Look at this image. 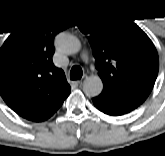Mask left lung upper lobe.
<instances>
[{
  "instance_id": "1",
  "label": "left lung upper lobe",
  "mask_w": 165,
  "mask_h": 156,
  "mask_svg": "<svg viewBox=\"0 0 165 156\" xmlns=\"http://www.w3.org/2000/svg\"><path fill=\"white\" fill-rule=\"evenodd\" d=\"M78 27L89 35L102 93L136 109L158 75L159 58L152 41L136 24L118 17L91 16Z\"/></svg>"
}]
</instances>
